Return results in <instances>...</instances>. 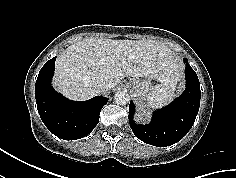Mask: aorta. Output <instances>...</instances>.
<instances>
[{"instance_id":"obj_1","label":"aorta","mask_w":236,"mask_h":178,"mask_svg":"<svg viewBox=\"0 0 236 178\" xmlns=\"http://www.w3.org/2000/svg\"><path fill=\"white\" fill-rule=\"evenodd\" d=\"M114 100L118 105H125L129 101V95L126 91H118L114 95Z\"/></svg>"}]
</instances>
